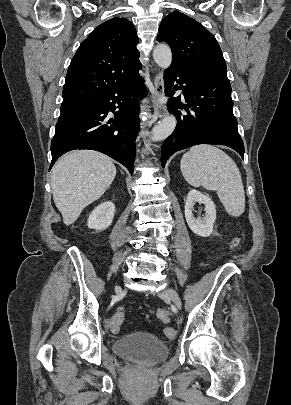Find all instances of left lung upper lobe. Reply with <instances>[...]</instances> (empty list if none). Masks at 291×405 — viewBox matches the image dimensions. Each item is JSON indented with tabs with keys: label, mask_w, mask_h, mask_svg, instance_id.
Wrapping results in <instances>:
<instances>
[{
	"label": "left lung upper lobe",
	"mask_w": 291,
	"mask_h": 405,
	"mask_svg": "<svg viewBox=\"0 0 291 405\" xmlns=\"http://www.w3.org/2000/svg\"><path fill=\"white\" fill-rule=\"evenodd\" d=\"M157 41H165L171 47V67L227 78L226 63L215 37L189 16L178 11L166 16Z\"/></svg>",
	"instance_id": "left-lung-upper-lobe-1"
}]
</instances>
